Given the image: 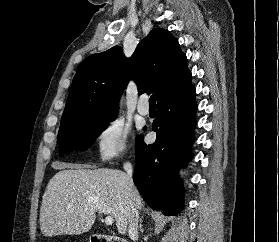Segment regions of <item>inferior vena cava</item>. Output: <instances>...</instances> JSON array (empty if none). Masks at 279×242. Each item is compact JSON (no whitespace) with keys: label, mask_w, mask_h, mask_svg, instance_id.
<instances>
[{"label":"inferior vena cava","mask_w":279,"mask_h":242,"mask_svg":"<svg viewBox=\"0 0 279 242\" xmlns=\"http://www.w3.org/2000/svg\"><path fill=\"white\" fill-rule=\"evenodd\" d=\"M124 170L126 171L128 178H129L128 195L132 199L133 198L132 190L134 188V184H133V180H132L133 169H132L131 163H129V162L125 163ZM128 234H129V237L133 241L138 239V210L133 203L131 204V214L129 217Z\"/></svg>","instance_id":"1"}]
</instances>
